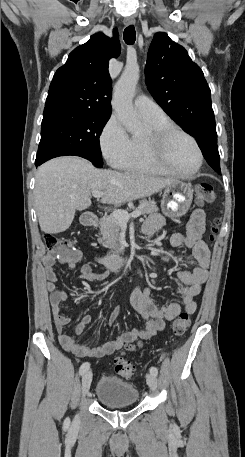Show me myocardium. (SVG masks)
I'll return each mask as SVG.
<instances>
[{
	"mask_svg": "<svg viewBox=\"0 0 245 457\" xmlns=\"http://www.w3.org/2000/svg\"><path fill=\"white\" fill-rule=\"evenodd\" d=\"M176 134H181L185 136L190 142L191 146L196 154L197 157V164L195 168L188 172L177 171L170 167L164 166L163 164L159 163L151 153V143L152 141L157 142L160 145H166L172 136ZM140 152L147 164H149L153 169L156 171H160L166 174L181 176V177H188L194 175L201 167L203 162V155L198 146L196 139L183 130L182 128L175 126V125H159L150 127L146 134H144L140 139Z\"/></svg>",
	"mask_w": 245,
	"mask_h": 457,
	"instance_id": "f54148a6",
	"label": "myocardium"
}]
</instances>
